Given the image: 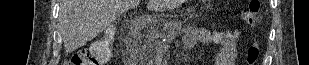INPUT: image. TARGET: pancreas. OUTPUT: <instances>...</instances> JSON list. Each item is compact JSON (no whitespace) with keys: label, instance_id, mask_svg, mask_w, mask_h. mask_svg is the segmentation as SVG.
I'll use <instances>...</instances> for the list:
<instances>
[{"label":"pancreas","instance_id":"cf45deb5","mask_svg":"<svg viewBox=\"0 0 309 65\" xmlns=\"http://www.w3.org/2000/svg\"><path fill=\"white\" fill-rule=\"evenodd\" d=\"M166 32L172 33V26H171L170 23H164V24H163V30H162V31L159 30V27H158V26L154 25V26H152V28H151V34L149 35V37L151 38V40H153V39H156L157 37L162 36V35L165 34ZM145 51H147L146 55H148V56L151 57V58L153 57V55H154L153 50H149V48H146V49L140 48V49H139V53H140L139 58H140V59L143 58V53H144Z\"/></svg>","mask_w":309,"mask_h":65}]
</instances>
